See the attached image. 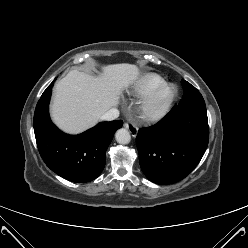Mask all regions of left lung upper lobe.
Segmentation results:
<instances>
[{
  "mask_svg": "<svg viewBox=\"0 0 248 248\" xmlns=\"http://www.w3.org/2000/svg\"><path fill=\"white\" fill-rule=\"evenodd\" d=\"M182 86L184 89V94L182 100L178 104L179 107H185L191 102L203 100L200 92L189 82L182 80Z\"/></svg>",
  "mask_w": 248,
  "mask_h": 248,
  "instance_id": "obj_1",
  "label": "left lung upper lobe"
}]
</instances>
